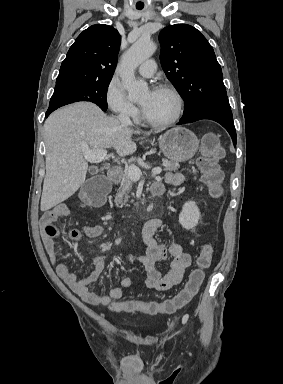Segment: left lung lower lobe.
Masks as SVG:
<instances>
[{"instance_id": "0a47b994", "label": "left lung lower lobe", "mask_w": 283, "mask_h": 384, "mask_svg": "<svg viewBox=\"0 0 283 384\" xmlns=\"http://www.w3.org/2000/svg\"><path fill=\"white\" fill-rule=\"evenodd\" d=\"M201 119H210L220 123L229 132L230 136L232 137L233 144L236 145V131L231 110L205 112L188 120H180L178 124L192 123Z\"/></svg>"}]
</instances>
